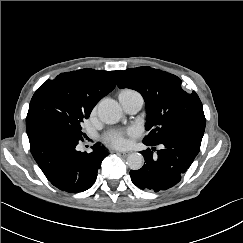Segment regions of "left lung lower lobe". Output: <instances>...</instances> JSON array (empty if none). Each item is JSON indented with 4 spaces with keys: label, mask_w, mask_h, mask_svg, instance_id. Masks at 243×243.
Wrapping results in <instances>:
<instances>
[{
    "label": "left lung lower lobe",
    "mask_w": 243,
    "mask_h": 243,
    "mask_svg": "<svg viewBox=\"0 0 243 243\" xmlns=\"http://www.w3.org/2000/svg\"><path fill=\"white\" fill-rule=\"evenodd\" d=\"M205 124L202 119L190 120L175 127L157 144L144 143L161 144L163 149L156 155L153 154L155 147L141 152L145 164L139 170L130 171L132 182L140 189L155 192L176 185L200 151Z\"/></svg>",
    "instance_id": "obj_1"
}]
</instances>
